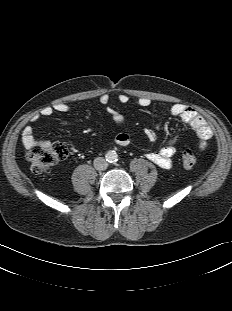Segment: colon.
Here are the masks:
<instances>
[{
  "mask_svg": "<svg viewBox=\"0 0 232 311\" xmlns=\"http://www.w3.org/2000/svg\"><path fill=\"white\" fill-rule=\"evenodd\" d=\"M68 150L65 144L56 142L47 146L31 148L27 154L30 170L34 174L47 172L52 166L66 159ZM182 164L186 168H192L196 164L195 153L191 149H185L181 155Z\"/></svg>",
  "mask_w": 232,
  "mask_h": 311,
  "instance_id": "colon-1",
  "label": "colon"
}]
</instances>
